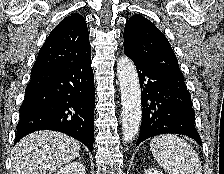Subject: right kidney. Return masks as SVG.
Returning <instances> with one entry per match:
<instances>
[{
	"label": "right kidney",
	"mask_w": 224,
	"mask_h": 174,
	"mask_svg": "<svg viewBox=\"0 0 224 174\" xmlns=\"http://www.w3.org/2000/svg\"><path fill=\"white\" fill-rule=\"evenodd\" d=\"M55 174H85V168L83 164L75 161L60 167Z\"/></svg>",
	"instance_id": "1"
}]
</instances>
